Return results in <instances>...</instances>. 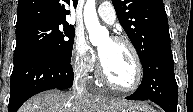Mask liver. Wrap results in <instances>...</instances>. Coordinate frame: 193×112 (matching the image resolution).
<instances>
[{"mask_svg":"<svg viewBox=\"0 0 193 112\" xmlns=\"http://www.w3.org/2000/svg\"><path fill=\"white\" fill-rule=\"evenodd\" d=\"M132 101L108 99L90 93L45 91L25 102L18 112H114Z\"/></svg>","mask_w":193,"mask_h":112,"instance_id":"1","label":"liver"}]
</instances>
